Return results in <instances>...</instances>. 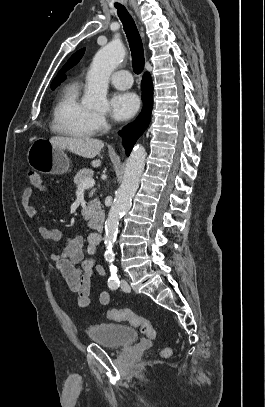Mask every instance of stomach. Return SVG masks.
<instances>
[{"label":"stomach","mask_w":265,"mask_h":407,"mask_svg":"<svg viewBox=\"0 0 265 407\" xmlns=\"http://www.w3.org/2000/svg\"><path fill=\"white\" fill-rule=\"evenodd\" d=\"M27 161L34 170L42 174L61 175L66 173L70 166L64 149L46 140H37L30 146Z\"/></svg>","instance_id":"stomach-1"}]
</instances>
